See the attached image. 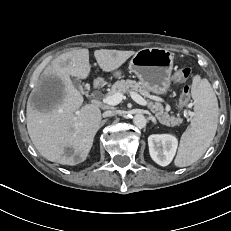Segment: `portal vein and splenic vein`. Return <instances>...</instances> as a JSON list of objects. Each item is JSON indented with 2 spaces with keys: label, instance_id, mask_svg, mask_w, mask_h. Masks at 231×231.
Masks as SVG:
<instances>
[{
  "label": "portal vein and splenic vein",
  "instance_id": "portal-vein-and-splenic-vein-1",
  "mask_svg": "<svg viewBox=\"0 0 231 231\" xmlns=\"http://www.w3.org/2000/svg\"><path fill=\"white\" fill-rule=\"evenodd\" d=\"M131 97L136 103H138L142 106H150V104L143 97H141L138 93L131 92ZM123 98H124L123 94L115 93L113 95L106 96L103 99V102L107 105L115 106V105H118L119 103H121Z\"/></svg>",
  "mask_w": 231,
  "mask_h": 231
}]
</instances>
